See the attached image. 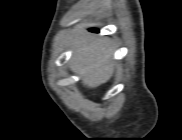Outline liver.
Returning a JSON list of instances; mask_svg holds the SVG:
<instances>
[{"mask_svg":"<svg viewBox=\"0 0 182 140\" xmlns=\"http://www.w3.org/2000/svg\"><path fill=\"white\" fill-rule=\"evenodd\" d=\"M73 48L75 53L70 62V69L82 75L84 86L96 88L111 78L113 48L108 39L81 36L73 42Z\"/></svg>","mask_w":182,"mask_h":140,"instance_id":"6515ba94","label":"liver"}]
</instances>
